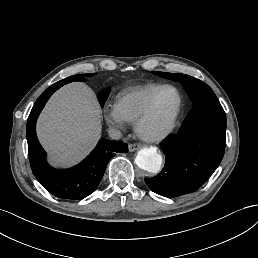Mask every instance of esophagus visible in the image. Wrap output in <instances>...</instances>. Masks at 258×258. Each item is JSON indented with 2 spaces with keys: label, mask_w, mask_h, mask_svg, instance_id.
<instances>
[{
  "label": "esophagus",
  "mask_w": 258,
  "mask_h": 258,
  "mask_svg": "<svg viewBox=\"0 0 258 258\" xmlns=\"http://www.w3.org/2000/svg\"><path fill=\"white\" fill-rule=\"evenodd\" d=\"M142 147L141 144H130L128 146L130 152H134L136 150H139Z\"/></svg>",
  "instance_id": "34e87169"
}]
</instances>
